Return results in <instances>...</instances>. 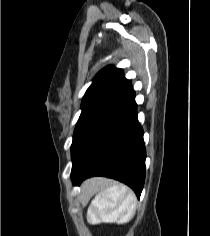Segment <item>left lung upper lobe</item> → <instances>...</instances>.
I'll list each match as a JSON object with an SVG mask.
<instances>
[{
  "instance_id": "left-lung-upper-lobe-1",
  "label": "left lung upper lobe",
  "mask_w": 210,
  "mask_h": 236,
  "mask_svg": "<svg viewBox=\"0 0 210 236\" xmlns=\"http://www.w3.org/2000/svg\"><path fill=\"white\" fill-rule=\"evenodd\" d=\"M129 86L131 82L124 77L122 69L112 66L102 69L82 99V112L74 130L73 142L80 132Z\"/></svg>"
}]
</instances>
